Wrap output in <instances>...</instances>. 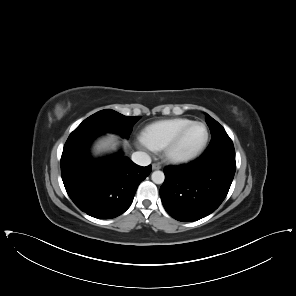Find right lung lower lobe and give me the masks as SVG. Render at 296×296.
Segmentation results:
<instances>
[{
  "label": "right lung lower lobe",
  "mask_w": 296,
  "mask_h": 296,
  "mask_svg": "<svg viewBox=\"0 0 296 296\" xmlns=\"http://www.w3.org/2000/svg\"><path fill=\"white\" fill-rule=\"evenodd\" d=\"M100 134H70L61 157V174L69 197L81 211L95 218L110 219L129 208L151 166H138L122 152L92 159L89 145Z\"/></svg>",
  "instance_id": "98d812e1"
}]
</instances>
